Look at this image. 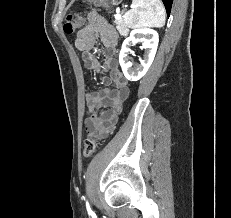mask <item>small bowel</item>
<instances>
[{"mask_svg": "<svg viewBox=\"0 0 231 218\" xmlns=\"http://www.w3.org/2000/svg\"><path fill=\"white\" fill-rule=\"evenodd\" d=\"M87 19L88 24L76 34L75 46L82 53L84 66L102 75L101 81L105 87L86 94L90 116L85 126L90 135L105 139L116 128L123 103L129 95V86L116 61L117 31L99 12L91 11ZM98 39L106 50L104 62H100L92 52ZM109 71L111 73L107 76ZM102 106L109 109L99 113L98 109Z\"/></svg>", "mask_w": 231, "mask_h": 218, "instance_id": "1", "label": "small bowel"}]
</instances>
